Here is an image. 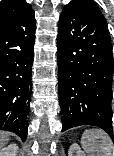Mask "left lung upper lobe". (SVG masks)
I'll list each match as a JSON object with an SVG mask.
<instances>
[{"label":"left lung upper lobe","mask_w":114,"mask_h":156,"mask_svg":"<svg viewBox=\"0 0 114 156\" xmlns=\"http://www.w3.org/2000/svg\"><path fill=\"white\" fill-rule=\"evenodd\" d=\"M74 1H83V2H86V3H89L91 4L93 7H95L96 9H98V11L100 12L99 8L95 5V3H93L92 1H86V0H74Z\"/></svg>","instance_id":"left-lung-upper-lobe-1"}]
</instances>
